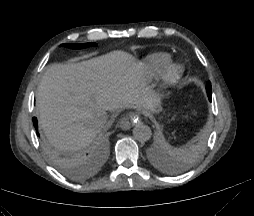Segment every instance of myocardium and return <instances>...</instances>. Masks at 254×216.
<instances>
[{"instance_id":"1","label":"myocardium","mask_w":254,"mask_h":216,"mask_svg":"<svg viewBox=\"0 0 254 216\" xmlns=\"http://www.w3.org/2000/svg\"><path fill=\"white\" fill-rule=\"evenodd\" d=\"M182 65L179 63H169L161 72L162 84L168 87L174 84L182 74Z\"/></svg>"}]
</instances>
